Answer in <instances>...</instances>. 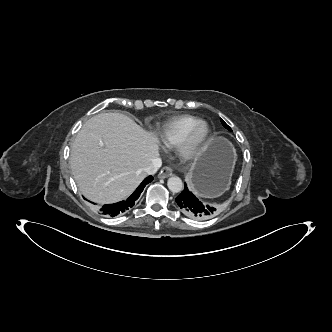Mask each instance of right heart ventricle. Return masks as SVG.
<instances>
[{"label":"right heart ventricle","mask_w":332,"mask_h":332,"mask_svg":"<svg viewBox=\"0 0 332 332\" xmlns=\"http://www.w3.org/2000/svg\"><path fill=\"white\" fill-rule=\"evenodd\" d=\"M199 121L201 120L198 117L191 115H182L169 119L158 128V137L165 146H176Z\"/></svg>","instance_id":"1"}]
</instances>
